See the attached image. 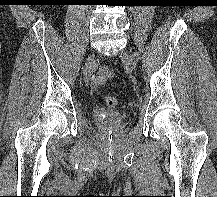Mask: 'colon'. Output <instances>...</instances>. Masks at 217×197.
I'll return each mask as SVG.
<instances>
[{
	"label": "colon",
	"mask_w": 217,
	"mask_h": 197,
	"mask_svg": "<svg viewBox=\"0 0 217 197\" xmlns=\"http://www.w3.org/2000/svg\"><path fill=\"white\" fill-rule=\"evenodd\" d=\"M106 102H107V105H108L109 107H112V108L118 106V104H119L118 99L115 98V97H112V96H108V97L106 98Z\"/></svg>",
	"instance_id": "colon-1"
}]
</instances>
